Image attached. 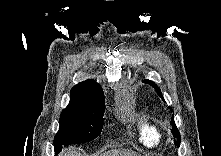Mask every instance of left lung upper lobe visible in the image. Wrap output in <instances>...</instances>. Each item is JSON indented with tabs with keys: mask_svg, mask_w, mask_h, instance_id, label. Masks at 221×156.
<instances>
[{
	"mask_svg": "<svg viewBox=\"0 0 221 156\" xmlns=\"http://www.w3.org/2000/svg\"><path fill=\"white\" fill-rule=\"evenodd\" d=\"M145 82L150 84L155 89V91L157 92L159 97L164 101V97L162 95V92H161L160 88L151 80H145ZM171 110H172V108H171Z\"/></svg>",
	"mask_w": 221,
	"mask_h": 156,
	"instance_id": "left-lung-upper-lobe-1",
	"label": "left lung upper lobe"
}]
</instances>
